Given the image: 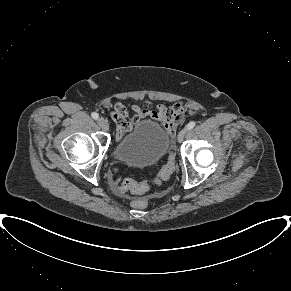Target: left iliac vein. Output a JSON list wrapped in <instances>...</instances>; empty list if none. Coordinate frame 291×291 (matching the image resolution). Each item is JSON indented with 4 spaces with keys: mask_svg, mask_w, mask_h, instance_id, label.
Instances as JSON below:
<instances>
[{
    "mask_svg": "<svg viewBox=\"0 0 291 291\" xmlns=\"http://www.w3.org/2000/svg\"><path fill=\"white\" fill-rule=\"evenodd\" d=\"M186 133H187V129H182V130L179 132V134H178V136H177V140H178V142H182V141H183V139H184Z\"/></svg>",
    "mask_w": 291,
    "mask_h": 291,
    "instance_id": "left-iliac-vein-1",
    "label": "left iliac vein"
}]
</instances>
